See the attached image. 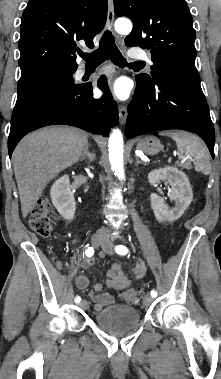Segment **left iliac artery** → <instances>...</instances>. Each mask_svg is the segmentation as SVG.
I'll list each match as a JSON object with an SVG mask.
<instances>
[{
    "label": "left iliac artery",
    "instance_id": "1",
    "mask_svg": "<svg viewBox=\"0 0 221 379\" xmlns=\"http://www.w3.org/2000/svg\"><path fill=\"white\" fill-rule=\"evenodd\" d=\"M115 251L119 255H126L128 253V249L124 245H118V246H116L115 247ZM150 294H151L152 297H156L157 296V292L155 290H151Z\"/></svg>",
    "mask_w": 221,
    "mask_h": 379
}]
</instances>
